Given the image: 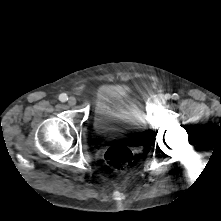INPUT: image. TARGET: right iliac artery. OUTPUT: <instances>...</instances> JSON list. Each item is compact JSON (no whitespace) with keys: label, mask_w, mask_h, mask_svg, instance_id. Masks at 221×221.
I'll return each mask as SVG.
<instances>
[{"label":"right iliac artery","mask_w":221,"mask_h":221,"mask_svg":"<svg viewBox=\"0 0 221 221\" xmlns=\"http://www.w3.org/2000/svg\"><path fill=\"white\" fill-rule=\"evenodd\" d=\"M59 100L61 102H65V101L68 100V96L65 93H62V94L59 95Z\"/></svg>","instance_id":"right-iliac-artery-1"}]
</instances>
